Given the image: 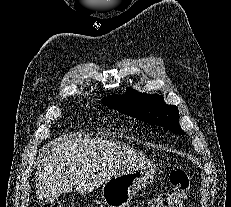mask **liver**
<instances>
[{
	"instance_id": "6515ba94",
	"label": "liver",
	"mask_w": 231,
	"mask_h": 207,
	"mask_svg": "<svg viewBox=\"0 0 231 207\" xmlns=\"http://www.w3.org/2000/svg\"><path fill=\"white\" fill-rule=\"evenodd\" d=\"M36 172L37 199L92 192L125 167L141 162L143 155L124 145L99 138L67 135L51 141Z\"/></svg>"
}]
</instances>
